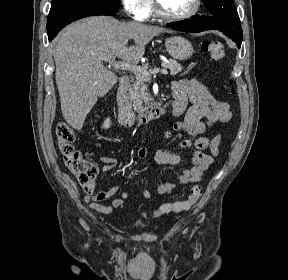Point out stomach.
Instances as JSON below:
<instances>
[{
	"label": "stomach",
	"mask_w": 288,
	"mask_h": 280,
	"mask_svg": "<svg viewBox=\"0 0 288 280\" xmlns=\"http://www.w3.org/2000/svg\"><path fill=\"white\" fill-rule=\"evenodd\" d=\"M167 52L176 60H187L194 52L192 43L181 36L169 37L165 40Z\"/></svg>",
	"instance_id": "1"
}]
</instances>
